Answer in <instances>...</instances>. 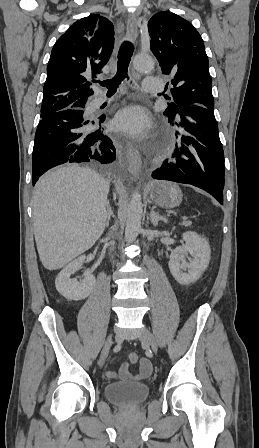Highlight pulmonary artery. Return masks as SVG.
<instances>
[{
	"label": "pulmonary artery",
	"mask_w": 259,
	"mask_h": 448,
	"mask_svg": "<svg viewBox=\"0 0 259 448\" xmlns=\"http://www.w3.org/2000/svg\"><path fill=\"white\" fill-rule=\"evenodd\" d=\"M104 100H105V98L100 97V98L97 99V103H101V102H103Z\"/></svg>",
	"instance_id": "pulmonary-artery-1"
}]
</instances>
